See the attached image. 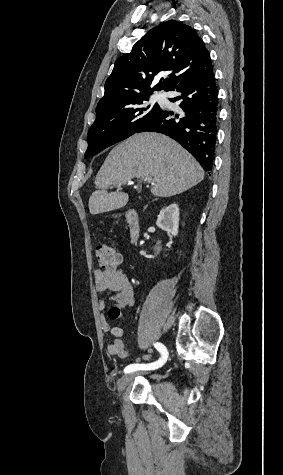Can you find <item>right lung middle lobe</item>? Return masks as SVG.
<instances>
[{
  "label": "right lung middle lobe",
  "mask_w": 283,
  "mask_h": 475,
  "mask_svg": "<svg viewBox=\"0 0 283 475\" xmlns=\"http://www.w3.org/2000/svg\"><path fill=\"white\" fill-rule=\"evenodd\" d=\"M152 93L135 96L128 100L96 108V120L88 132V148L85 158L116 144L134 133L160 109L158 104L149 105Z\"/></svg>",
  "instance_id": "1"
}]
</instances>
